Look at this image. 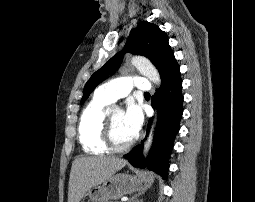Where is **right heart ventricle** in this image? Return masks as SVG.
Returning a JSON list of instances; mask_svg holds the SVG:
<instances>
[{
    "label": "right heart ventricle",
    "instance_id": "right-heart-ventricle-1",
    "mask_svg": "<svg viewBox=\"0 0 255 202\" xmlns=\"http://www.w3.org/2000/svg\"><path fill=\"white\" fill-rule=\"evenodd\" d=\"M108 104V101L95 94L82 112L79 138L84 151L89 154L101 155L109 151L102 141V128Z\"/></svg>",
    "mask_w": 255,
    "mask_h": 202
}]
</instances>
